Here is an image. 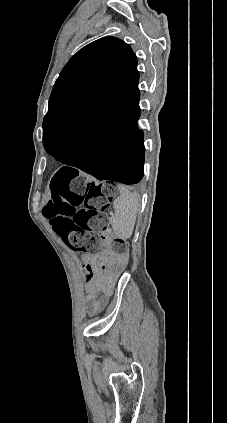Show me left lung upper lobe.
<instances>
[{
	"label": "left lung upper lobe",
	"instance_id": "obj_1",
	"mask_svg": "<svg viewBox=\"0 0 227 423\" xmlns=\"http://www.w3.org/2000/svg\"><path fill=\"white\" fill-rule=\"evenodd\" d=\"M137 59L124 41L100 38L79 50L56 80L43 144L81 134L109 113L140 112Z\"/></svg>",
	"mask_w": 227,
	"mask_h": 423
}]
</instances>
